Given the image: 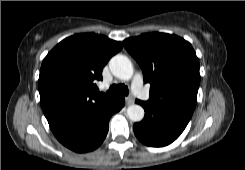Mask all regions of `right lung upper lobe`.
<instances>
[{
	"label": "right lung upper lobe",
	"mask_w": 245,
	"mask_h": 170,
	"mask_svg": "<svg viewBox=\"0 0 245 170\" xmlns=\"http://www.w3.org/2000/svg\"><path fill=\"white\" fill-rule=\"evenodd\" d=\"M122 48L121 42L95 33L62 40L44 58L39 76L40 102L49 126L61 142L113 96L99 92L95 80Z\"/></svg>",
	"instance_id": "1"
}]
</instances>
